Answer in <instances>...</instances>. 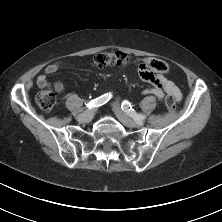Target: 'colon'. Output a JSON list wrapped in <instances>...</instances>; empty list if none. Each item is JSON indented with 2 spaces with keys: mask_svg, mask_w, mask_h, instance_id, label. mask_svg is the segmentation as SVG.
<instances>
[{
  "mask_svg": "<svg viewBox=\"0 0 222 222\" xmlns=\"http://www.w3.org/2000/svg\"><path fill=\"white\" fill-rule=\"evenodd\" d=\"M93 62L95 66L99 68L108 67V66H118L124 67L130 64L131 59L124 53L119 51H105L96 54L93 57ZM134 64L137 65L138 71L140 69H147L148 71L154 73H166L168 70L167 64L156 58H148L140 61H134ZM57 92L56 87L51 88L45 86L36 96V103L45 112H50L54 109L57 101ZM166 106L169 111H174L176 109L175 99L172 96L166 98Z\"/></svg>",
  "mask_w": 222,
  "mask_h": 222,
  "instance_id": "1",
  "label": "colon"
}]
</instances>
